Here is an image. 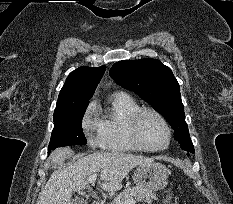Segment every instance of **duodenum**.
Returning <instances> with one entry per match:
<instances>
[{
    "label": "duodenum",
    "instance_id": "duodenum-1",
    "mask_svg": "<svg viewBox=\"0 0 233 204\" xmlns=\"http://www.w3.org/2000/svg\"><path fill=\"white\" fill-rule=\"evenodd\" d=\"M91 204H101V203H100V201L95 200Z\"/></svg>",
    "mask_w": 233,
    "mask_h": 204
}]
</instances>
